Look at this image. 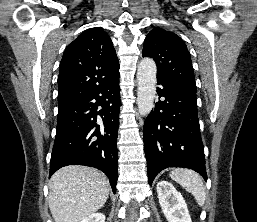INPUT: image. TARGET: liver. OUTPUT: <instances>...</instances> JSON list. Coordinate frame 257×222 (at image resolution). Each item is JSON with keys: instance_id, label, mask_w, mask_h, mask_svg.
<instances>
[{"instance_id": "liver-1", "label": "liver", "mask_w": 257, "mask_h": 222, "mask_svg": "<svg viewBox=\"0 0 257 222\" xmlns=\"http://www.w3.org/2000/svg\"><path fill=\"white\" fill-rule=\"evenodd\" d=\"M49 208L55 222H81L107 201V177L97 169L71 165L49 181Z\"/></svg>"}]
</instances>
